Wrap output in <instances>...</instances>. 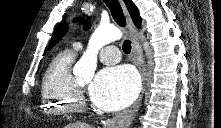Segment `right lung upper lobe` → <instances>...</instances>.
<instances>
[{
    "instance_id": "cb5924a9",
    "label": "right lung upper lobe",
    "mask_w": 221,
    "mask_h": 128,
    "mask_svg": "<svg viewBox=\"0 0 221 128\" xmlns=\"http://www.w3.org/2000/svg\"><path fill=\"white\" fill-rule=\"evenodd\" d=\"M124 2L126 3V6L129 10V13L132 17V20L134 22V24L137 26V27H140V24H141V17L139 16V12H138V9L136 8V6L133 4V2L131 0H124ZM65 30H66V26L65 24H61L56 32L54 33L53 37H52V40L49 44V49H51L58 41L59 39L64 36L65 34Z\"/></svg>"
}]
</instances>
